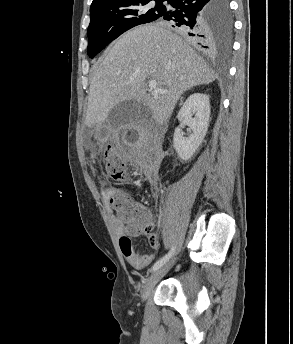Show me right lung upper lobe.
Masks as SVG:
<instances>
[{
  "instance_id": "right-lung-upper-lobe-1",
  "label": "right lung upper lobe",
  "mask_w": 293,
  "mask_h": 344,
  "mask_svg": "<svg viewBox=\"0 0 293 344\" xmlns=\"http://www.w3.org/2000/svg\"><path fill=\"white\" fill-rule=\"evenodd\" d=\"M114 1H117V0H93L92 4H91V7H90V10L93 9V8H96L98 6H101V5H104V4H108V3H111V2H114ZM214 46V44H213Z\"/></svg>"
}]
</instances>
